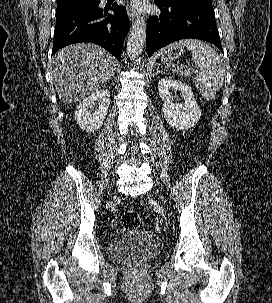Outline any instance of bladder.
I'll use <instances>...</instances> for the list:
<instances>
[{"label":"bladder","mask_w":272,"mask_h":303,"mask_svg":"<svg viewBox=\"0 0 272 303\" xmlns=\"http://www.w3.org/2000/svg\"><path fill=\"white\" fill-rule=\"evenodd\" d=\"M159 250L155 236L140 229H128L108 245L109 256L116 261L151 259L157 256Z\"/></svg>","instance_id":"31cf9c89"}]
</instances>
